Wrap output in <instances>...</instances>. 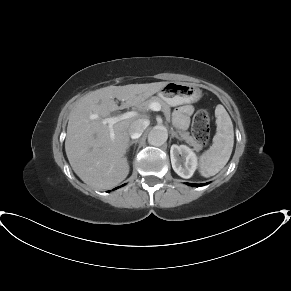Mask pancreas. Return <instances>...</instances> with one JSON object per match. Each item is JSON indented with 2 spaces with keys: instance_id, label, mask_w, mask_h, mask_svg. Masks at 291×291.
Returning a JSON list of instances; mask_svg holds the SVG:
<instances>
[{
  "instance_id": "pancreas-1",
  "label": "pancreas",
  "mask_w": 291,
  "mask_h": 291,
  "mask_svg": "<svg viewBox=\"0 0 291 291\" xmlns=\"http://www.w3.org/2000/svg\"><path fill=\"white\" fill-rule=\"evenodd\" d=\"M153 102H157L161 105V110L164 113L165 117L167 119L170 118V106L164 102L161 98L157 97V96H153L150 99L144 101L139 108L142 111H147L149 109V106L151 103ZM180 138L182 140H185L186 143H188L189 145L193 146L195 150L199 151L202 149L203 145L196 140L195 137L191 136L189 132H182V131H178Z\"/></svg>"
}]
</instances>
